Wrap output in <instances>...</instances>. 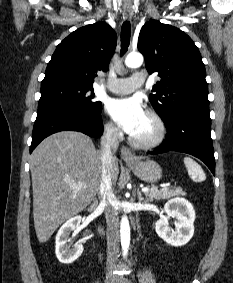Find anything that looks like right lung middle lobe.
I'll return each instance as SVG.
<instances>
[{
    "instance_id": "obj_1",
    "label": "right lung middle lobe",
    "mask_w": 233,
    "mask_h": 283,
    "mask_svg": "<svg viewBox=\"0 0 233 283\" xmlns=\"http://www.w3.org/2000/svg\"><path fill=\"white\" fill-rule=\"evenodd\" d=\"M94 97L93 87L61 80L42 82L38 109L47 106H64L85 112H97L101 110L102 104Z\"/></svg>"
}]
</instances>
